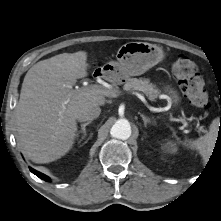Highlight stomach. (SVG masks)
<instances>
[{
    "mask_svg": "<svg viewBox=\"0 0 221 221\" xmlns=\"http://www.w3.org/2000/svg\"><path fill=\"white\" fill-rule=\"evenodd\" d=\"M117 61L105 64L104 69L109 78L122 84L130 76H138L157 65L164 58L161 47L146 42H129L122 45L116 55ZM172 103L180 100L177 91L171 86L164 87Z\"/></svg>",
    "mask_w": 221,
    "mask_h": 221,
    "instance_id": "1",
    "label": "stomach"
}]
</instances>
